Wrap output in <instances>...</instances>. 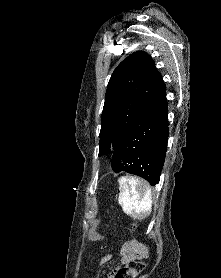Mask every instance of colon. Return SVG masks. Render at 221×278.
<instances>
[{
    "mask_svg": "<svg viewBox=\"0 0 221 278\" xmlns=\"http://www.w3.org/2000/svg\"><path fill=\"white\" fill-rule=\"evenodd\" d=\"M146 256H140L129 261L116 273V278H133L146 268Z\"/></svg>",
    "mask_w": 221,
    "mask_h": 278,
    "instance_id": "1",
    "label": "colon"
}]
</instances>
